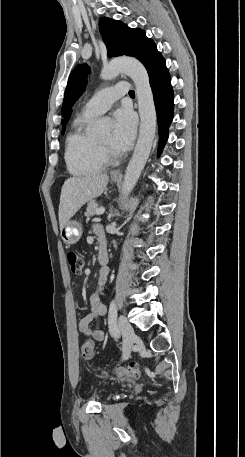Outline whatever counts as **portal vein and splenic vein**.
<instances>
[{"label": "portal vein and splenic vein", "instance_id": "portal-vein-and-splenic-vein-1", "mask_svg": "<svg viewBox=\"0 0 245 457\" xmlns=\"http://www.w3.org/2000/svg\"><path fill=\"white\" fill-rule=\"evenodd\" d=\"M103 212H105L104 206H100V208H97L96 210V214H103Z\"/></svg>", "mask_w": 245, "mask_h": 457}]
</instances>
